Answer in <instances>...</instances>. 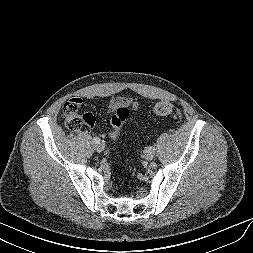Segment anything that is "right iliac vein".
Returning <instances> with one entry per match:
<instances>
[{
    "mask_svg": "<svg viewBox=\"0 0 253 253\" xmlns=\"http://www.w3.org/2000/svg\"><path fill=\"white\" fill-rule=\"evenodd\" d=\"M95 149L97 152H102L105 149L104 142H99L95 145Z\"/></svg>",
    "mask_w": 253,
    "mask_h": 253,
    "instance_id": "obj_1",
    "label": "right iliac vein"
}]
</instances>
